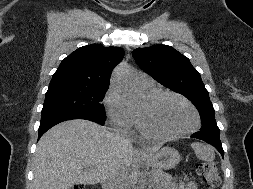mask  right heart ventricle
<instances>
[{
	"label": "right heart ventricle",
	"instance_id": "1",
	"mask_svg": "<svg viewBox=\"0 0 253 189\" xmlns=\"http://www.w3.org/2000/svg\"><path fill=\"white\" fill-rule=\"evenodd\" d=\"M140 91L146 99L159 92L155 87L149 90L140 89ZM135 117H137V115H135Z\"/></svg>",
	"mask_w": 253,
	"mask_h": 189
}]
</instances>
